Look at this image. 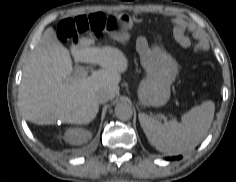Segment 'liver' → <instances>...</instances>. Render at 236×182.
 <instances>
[{
    "label": "liver",
    "mask_w": 236,
    "mask_h": 182,
    "mask_svg": "<svg viewBox=\"0 0 236 182\" xmlns=\"http://www.w3.org/2000/svg\"><path fill=\"white\" fill-rule=\"evenodd\" d=\"M99 65L91 76L72 77V60ZM128 59L118 48L91 46L87 39L69 51L58 40L53 28L45 30L23 69L19 101L23 116L38 125L55 120L88 124L99 111L96 95L109 90L112 98L119 91L121 73Z\"/></svg>",
    "instance_id": "liver-1"
}]
</instances>
